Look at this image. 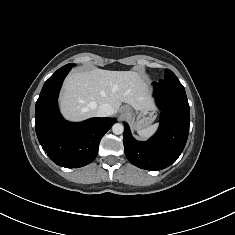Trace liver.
Wrapping results in <instances>:
<instances>
[{
	"label": "liver",
	"mask_w": 235,
	"mask_h": 235,
	"mask_svg": "<svg viewBox=\"0 0 235 235\" xmlns=\"http://www.w3.org/2000/svg\"><path fill=\"white\" fill-rule=\"evenodd\" d=\"M122 102L134 109L152 106L146 82L134 71L93 69L70 74L63 85L60 108L70 121L97 116L102 104L117 113Z\"/></svg>",
	"instance_id": "liver-1"
}]
</instances>
